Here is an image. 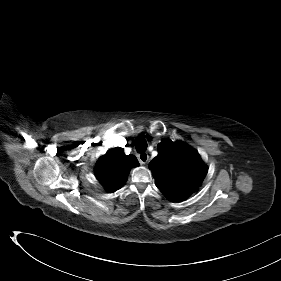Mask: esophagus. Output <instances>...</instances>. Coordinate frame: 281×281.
Here are the masks:
<instances>
[{
    "instance_id": "1",
    "label": "esophagus",
    "mask_w": 281,
    "mask_h": 281,
    "mask_svg": "<svg viewBox=\"0 0 281 281\" xmlns=\"http://www.w3.org/2000/svg\"><path fill=\"white\" fill-rule=\"evenodd\" d=\"M138 160L141 164H146L149 160V155L146 152L140 153L138 155Z\"/></svg>"
}]
</instances>
